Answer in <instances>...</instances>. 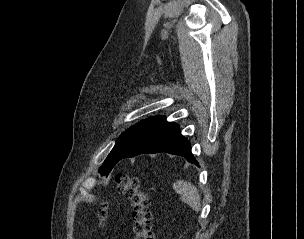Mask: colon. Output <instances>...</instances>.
<instances>
[{"instance_id":"colon-1","label":"colon","mask_w":304,"mask_h":239,"mask_svg":"<svg viewBox=\"0 0 304 239\" xmlns=\"http://www.w3.org/2000/svg\"><path fill=\"white\" fill-rule=\"evenodd\" d=\"M115 184L116 189L130 201L134 239H154L151 229L152 214L149 195L141 188L139 179L128 174H118ZM107 213V204L103 203L98 211L101 224L106 222Z\"/></svg>"}]
</instances>
